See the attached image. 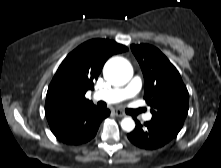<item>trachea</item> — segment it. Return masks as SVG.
<instances>
[{
	"instance_id": "3493384b",
	"label": "trachea",
	"mask_w": 221,
	"mask_h": 168,
	"mask_svg": "<svg viewBox=\"0 0 221 168\" xmlns=\"http://www.w3.org/2000/svg\"><path fill=\"white\" fill-rule=\"evenodd\" d=\"M99 106L101 107H104L105 104L104 103H99ZM143 110L142 109H138V110H130L129 113L132 114V115H137L138 113L142 112Z\"/></svg>"
}]
</instances>
